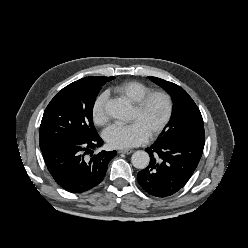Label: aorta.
Segmentation results:
<instances>
[{"instance_id":"aorta-1","label":"aorta","mask_w":248,"mask_h":248,"mask_svg":"<svg viewBox=\"0 0 248 248\" xmlns=\"http://www.w3.org/2000/svg\"><path fill=\"white\" fill-rule=\"evenodd\" d=\"M106 113L118 120L126 121L130 117L131 106L124 99H112L106 103ZM150 161L149 154L143 150H138L133 153L131 162L137 169H145Z\"/></svg>"}]
</instances>
